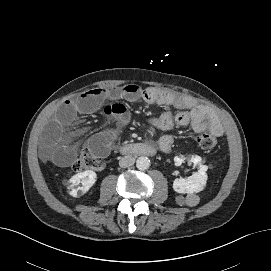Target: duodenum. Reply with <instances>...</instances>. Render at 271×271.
Returning <instances> with one entry per match:
<instances>
[{
	"instance_id": "obj_1",
	"label": "duodenum",
	"mask_w": 271,
	"mask_h": 271,
	"mask_svg": "<svg viewBox=\"0 0 271 271\" xmlns=\"http://www.w3.org/2000/svg\"><path fill=\"white\" fill-rule=\"evenodd\" d=\"M120 150L124 153L128 152L129 150L127 149V147L122 146L120 148ZM155 148L151 145H141L136 147L135 149L132 150V152L136 155L139 156H150V155H154L155 154Z\"/></svg>"
}]
</instances>
